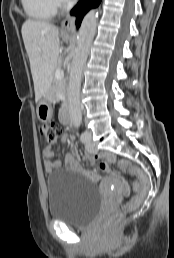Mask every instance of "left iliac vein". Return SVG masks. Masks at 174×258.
<instances>
[{
    "label": "left iliac vein",
    "instance_id": "left-iliac-vein-1",
    "mask_svg": "<svg viewBox=\"0 0 174 258\" xmlns=\"http://www.w3.org/2000/svg\"><path fill=\"white\" fill-rule=\"evenodd\" d=\"M88 135V140L85 142L86 144V149L90 152H96L97 148L93 145L92 141H91V133L86 132Z\"/></svg>",
    "mask_w": 174,
    "mask_h": 258
}]
</instances>
